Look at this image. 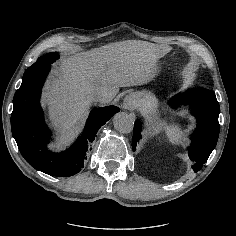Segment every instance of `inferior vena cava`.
<instances>
[{
    "label": "inferior vena cava",
    "instance_id": "602c4592",
    "mask_svg": "<svg viewBox=\"0 0 236 236\" xmlns=\"http://www.w3.org/2000/svg\"><path fill=\"white\" fill-rule=\"evenodd\" d=\"M113 97L111 92H107L105 89L100 88L93 92L91 99L95 101L108 102Z\"/></svg>",
    "mask_w": 236,
    "mask_h": 236
}]
</instances>
